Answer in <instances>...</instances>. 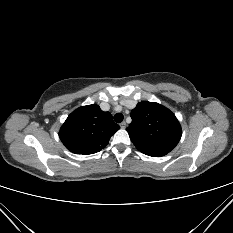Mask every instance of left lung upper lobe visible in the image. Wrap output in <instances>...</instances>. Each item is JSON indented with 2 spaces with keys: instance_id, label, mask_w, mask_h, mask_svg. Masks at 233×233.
I'll list each match as a JSON object with an SVG mask.
<instances>
[{
  "instance_id": "obj_1",
  "label": "left lung upper lobe",
  "mask_w": 233,
  "mask_h": 233,
  "mask_svg": "<svg viewBox=\"0 0 233 233\" xmlns=\"http://www.w3.org/2000/svg\"><path fill=\"white\" fill-rule=\"evenodd\" d=\"M132 122L126 129L135 147L142 153L160 157L169 153L181 138V126L166 107L143 101L131 111Z\"/></svg>"
}]
</instances>
